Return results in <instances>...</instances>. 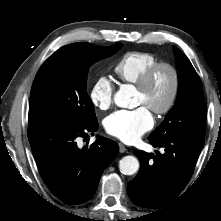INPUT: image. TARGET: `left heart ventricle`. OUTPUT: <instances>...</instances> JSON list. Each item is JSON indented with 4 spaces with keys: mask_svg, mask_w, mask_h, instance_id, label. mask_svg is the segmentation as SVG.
<instances>
[{
    "mask_svg": "<svg viewBox=\"0 0 221 221\" xmlns=\"http://www.w3.org/2000/svg\"><path fill=\"white\" fill-rule=\"evenodd\" d=\"M171 85L170 72L166 69L160 70L145 91L137 90V104H142L150 110L162 107L169 97Z\"/></svg>",
    "mask_w": 221,
    "mask_h": 221,
    "instance_id": "b2bd125f",
    "label": "left heart ventricle"
}]
</instances>
